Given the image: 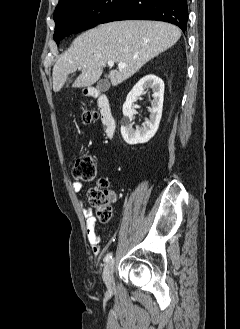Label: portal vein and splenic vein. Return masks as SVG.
<instances>
[{"label":"portal vein and splenic vein","mask_w":240,"mask_h":329,"mask_svg":"<svg viewBox=\"0 0 240 329\" xmlns=\"http://www.w3.org/2000/svg\"><path fill=\"white\" fill-rule=\"evenodd\" d=\"M108 65L110 66V67H113L114 66V62L113 61H108ZM127 65L126 64H124V63H119L118 64V68L119 69H123V68H125Z\"/></svg>","instance_id":"portal-vein-and-splenic-vein-1"}]
</instances>
